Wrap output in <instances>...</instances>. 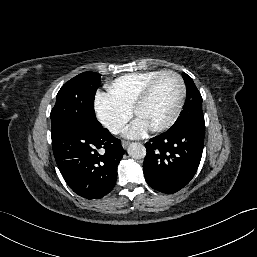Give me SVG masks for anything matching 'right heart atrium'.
Returning <instances> with one entry per match:
<instances>
[{"label":"right heart atrium","mask_w":257,"mask_h":257,"mask_svg":"<svg viewBox=\"0 0 257 257\" xmlns=\"http://www.w3.org/2000/svg\"><path fill=\"white\" fill-rule=\"evenodd\" d=\"M102 108L113 112L115 118L112 121L107 122L103 117ZM95 112L97 119L112 135L120 134L132 116L131 110H127L116 104L108 97L107 94H98L95 103Z\"/></svg>","instance_id":"d8ad5b80"}]
</instances>
